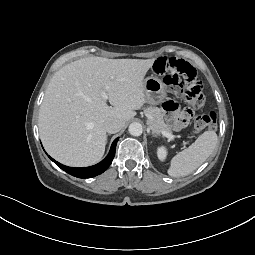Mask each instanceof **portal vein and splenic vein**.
<instances>
[{
	"label": "portal vein and splenic vein",
	"mask_w": 255,
	"mask_h": 255,
	"mask_svg": "<svg viewBox=\"0 0 255 255\" xmlns=\"http://www.w3.org/2000/svg\"><path fill=\"white\" fill-rule=\"evenodd\" d=\"M102 97H103L105 100L108 98L105 92H102ZM161 134H162L163 136L169 138L170 140H174V136H173L171 133H169V132L162 131Z\"/></svg>",
	"instance_id": "18ae733b"
}]
</instances>
